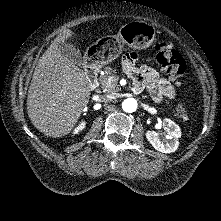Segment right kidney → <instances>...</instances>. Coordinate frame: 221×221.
Masks as SVG:
<instances>
[{"label": "right kidney", "instance_id": "ca27d5eb", "mask_svg": "<svg viewBox=\"0 0 221 221\" xmlns=\"http://www.w3.org/2000/svg\"><path fill=\"white\" fill-rule=\"evenodd\" d=\"M86 123L82 121L75 129L74 134H77L79 131L83 130L85 128Z\"/></svg>", "mask_w": 221, "mask_h": 221}]
</instances>
